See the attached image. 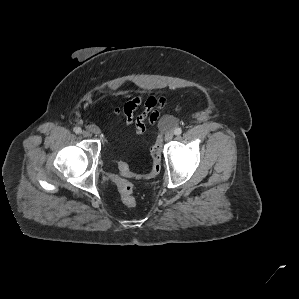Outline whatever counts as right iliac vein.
Returning a JSON list of instances; mask_svg holds the SVG:
<instances>
[{"label": "right iliac vein", "instance_id": "right-iliac-vein-1", "mask_svg": "<svg viewBox=\"0 0 299 299\" xmlns=\"http://www.w3.org/2000/svg\"><path fill=\"white\" fill-rule=\"evenodd\" d=\"M82 135H83L84 137H87V138L92 136L91 132H89V131H87V130H84V131L82 132Z\"/></svg>", "mask_w": 299, "mask_h": 299}]
</instances>
